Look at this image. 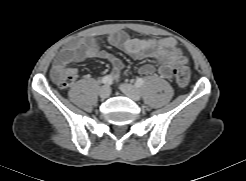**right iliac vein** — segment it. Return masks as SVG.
Instances as JSON below:
<instances>
[{
  "instance_id": "right-iliac-vein-1",
  "label": "right iliac vein",
  "mask_w": 246,
  "mask_h": 181,
  "mask_svg": "<svg viewBox=\"0 0 246 181\" xmlns=\"http://www.w3.org/2000/svg\"><path fill=\"white\" fill-rule=\"evenodd\" d=\"M111 93V89L108 85H104L99 89V96L103 99L108 98Z\"/></svg>"
}]
</instances>
